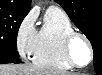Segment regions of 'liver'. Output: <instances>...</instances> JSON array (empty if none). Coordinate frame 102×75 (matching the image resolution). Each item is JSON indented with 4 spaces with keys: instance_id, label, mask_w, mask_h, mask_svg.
Listing matches in <instances>:
<instances>
[{
    "instance_id": "1",
    "label": "liver",
    "mask_w": 102,
    "mask_h": 75,
    "mask_svg": "<svg viewBox=\"0 0 102 75\" xmlns=\"http://www.w3.org/2000/svg\"><path fill=\"white\" fill-rule=\"evenodd\" d=\"M0 75H68V74L39 67L33 64L26 65L4 64L0 66Z\"/></svg>"
}]
</instances>
